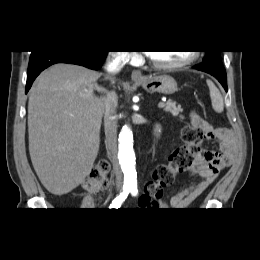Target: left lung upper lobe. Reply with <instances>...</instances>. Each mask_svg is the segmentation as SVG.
Returning a JSON list of instances; mask_svg holds the SVG:
<instances>
[{"instance_id":"5c2ea615","label":"left lung upper lobe","mask_w":260,"mask_h":260,"mask_svg":"<svg viewBox=\"0 0 260 260\" xmlns=\"http://www.w3.org/2000/svg\"><path fill=\"white\" fill-rule=\"evenodd\" d=\"M219 60L221 61L220 51H205V58L203 61Z\"/></svg>"}]
</instances>
